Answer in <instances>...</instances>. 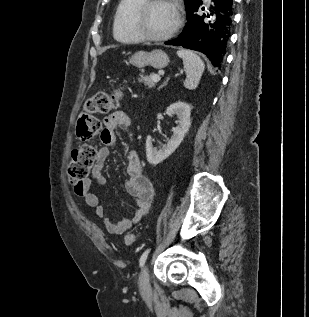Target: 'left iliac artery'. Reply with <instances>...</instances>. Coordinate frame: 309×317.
Wrapping results in <instances>:
<instances>
[{"instance_id": "left-iliac-artery-1", "label": "left iliac artery", "mask_w": 309, "mask_h": 317, "mask_svg": "<svg viewBox=\"0 0 309 317\" xmlns=\"http://www.w3.org/2000/svg\"><path fill=\"white\" fill-rule=\"evenodd\" d=\"M149 252H150V248L146 249L144 251V253L141 255L140 260H139L140 267H143V265L145 264V261L147 259Z\"/></svg>"}]
</instances>
